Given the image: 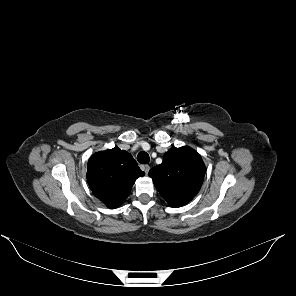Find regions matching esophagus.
Returning <instances> with one entry per match:
<instances>
[{
	"label": "esophagus",
	"mask_w": 296,
	"mask_h": 296,
	"mask_svg": "<svg viewBox=\"0 0 296 296\" xmlns=\"http://www.w3.org/2000/svg\"><path fill=\"white\" fill-rule=\"evenodd\" d=\"M144 172L146 173V175L148 174L149 170H150V166L149 165H145L143 167Z\"/></svg>",
	"instance_id": "1"
}]
</instances>
